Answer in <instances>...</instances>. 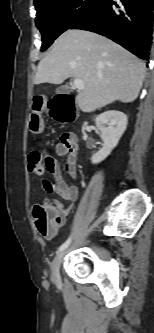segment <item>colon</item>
I'll use <instances>...</instances> for the list:
<instances>
[{
  "mask_svg": "<svg viewBox=\"0 0 154 333\" xmlns=\"http://www.w3.org/2000/svg\"><path fill=\"white\" fill-rule=\"evenodd\" d=\"M44 109V100L37 97L32 103V114L30 117L29 127L33 132H40L42 129L41 112ZM29 170L35 174H42L45 171V163L42 155L31 150L28 154ZM36 219V225L39 232L47 237H55L62 224L64 213L61 209L48 202L38 204L33 210Z\"/></svg>",
  "mask_w": 154,
  "mask_h": 333,
  "instance_id": "obj_1",
  "label": "colon"
}]
</instances>
